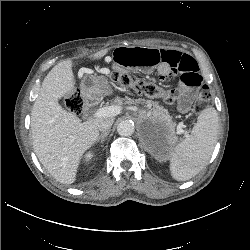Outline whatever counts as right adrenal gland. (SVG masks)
Here are the masks:
<instances>
[{"mask_svg": "<svg viewBox=\"0 0 250 250\" xmlns=\"http://www.w3.org/2000/svg\"><path fill=\"white\" fill-rule=\"evenodd\" d=\"M109 134V131L108 132H105V133H102L96 140V142H101L103 144L105 138L108 136Z\"/></svg>", "mask_w": 250, "mask_h": 250, "instance_id": "right-adrenal-gland-1", "label": "right adrenal gland"}]
</instances>
